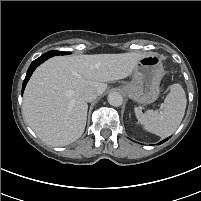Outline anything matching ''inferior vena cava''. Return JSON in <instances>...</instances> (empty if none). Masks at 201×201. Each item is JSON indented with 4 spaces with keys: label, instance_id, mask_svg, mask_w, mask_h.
I'll use <instances>...</instances> for the list:
<instances>
[{
    "label": "inferior vena cava",
    "instance_id": "1",
    "mask_svg": "<svg viewBox=\"0 0 201 201\" xmlns=\"http://www.w3.org/2000/svg\"><path fill=\"white\" fill-rule=\"evenodd\" d=\"M82 97L86 102H91L97 98V93L94 89L88 88L82 92Z\"/></svg>",
    "mask_w": 201,
    "mask_h": 201
}]
</instances>
